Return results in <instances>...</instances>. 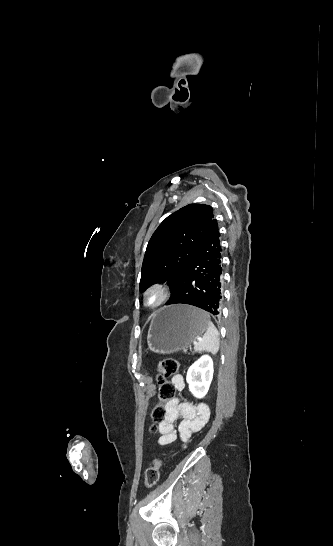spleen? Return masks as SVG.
<instances>
[{
	"mask_svg": "<svg viewBox=\"0 0 333 546\" xmlns=\"http://www.w3.org/2000/svg\"><path fill=\"white\" fill-rule=\"evenodd\" d=\"M208 317V327L203 335L202 338L199 339L198 342H195L194 344V350L197 352H210L213 354H216L219 350V332L217 328L214 326V324L210 320V316L207 314Z\"/></svg>",
	"mask_w": 333,
	"mask_h": 546,
	"instance_id": "obj_1",
	"label": "spleen"
}]
</instances>
